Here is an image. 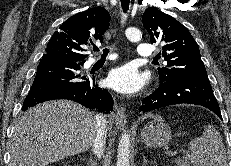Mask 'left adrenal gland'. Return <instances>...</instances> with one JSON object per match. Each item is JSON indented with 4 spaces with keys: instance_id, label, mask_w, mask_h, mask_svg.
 <instances>
[{
    "instance_id": "obj_1",
    "label": "left adrenal gland",
    "mask_w": 231,
    "mask_h": 166,
    "mask_svg": "<svg viewBox=\"0 0 231 166\" xmlns=\"http://www.w3.org/2000/svg\"><path fill=\"white\" fill-rule=\"evenodd\" d=\"M142 157H143V164H142V166H146L147 163H153L152 161H149V160L147 159V157L145 156L144 153H143Z\"/></svg>"
}]
</instances>
